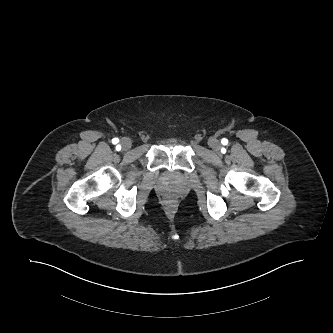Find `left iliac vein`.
Here are the masks:
<instances>
[{"label":"left iliac vein","instance_id":"obj_1","mask_svg":"<svg viewBox=\"0 0 333 333\" xmlns=\"http://www.w3.org/2000/svg\"><path fill=\"white\" fill-rule=\"evenodd\" d=\"M209 145L211 146V148L215 151V152H219L220 148H221V144L218 140L216 139H211L209 142Z\"/></svg>","mask_w":333,"mask_h":333}]
</instances>
